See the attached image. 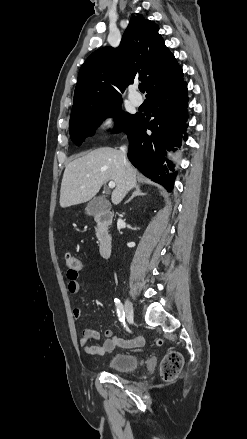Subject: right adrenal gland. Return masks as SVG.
<instances>
[{
  "mask_svg": "<svg viewBox=\"0 0 247 439\" xmlns=\"http://www.w3.org/2000/svg\"><path fill=\"white\" fill-rule=\"evenodd\" d=\"M145 195H146V193L142 192L140 186L137 185L135 187V190H134L132 196L125 202V204H128L136 196H145Z\"/></svg>",
  "mask_w": 247,
  "mask_h": 439,
  "instance_id": "right-adrenal-gland-1",
  "label": "right adrenal gland"
}]
</instances>
